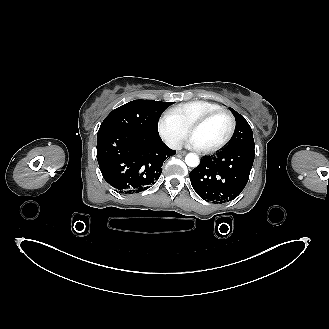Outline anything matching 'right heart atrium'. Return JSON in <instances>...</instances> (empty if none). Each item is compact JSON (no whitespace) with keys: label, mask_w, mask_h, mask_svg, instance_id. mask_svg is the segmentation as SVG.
I'll use <instances>...</instances> for the list:
<instances>
[{"label":"right heart atrium","mask_w":329,"mask_h":329,"mask_svg":"<svg viewBox=\"0 0 329 329\" xmlns=\"http://www.w3.org/2000/svg\"><path fill=\"white\" fill-rule=\"evenodd\" d=\"M157 131L165 144L176 149L187 135V128L169 111L157 121Z\"/></svg>","instance_id":"d8ad5b80"}]
</instances>
